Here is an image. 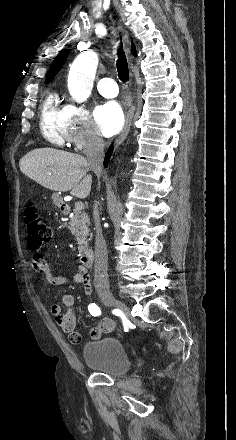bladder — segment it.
<instances>
[{"label":"bladder","instance_id":"bladder-1","mask_svg":"<svg viewBox=\"0 0 236 440\" xmlns=\"http://www.w3.org/2000/svg\"><path fill=\"white\" fill-rule=\"evenodd\" d=\"M82 355L89 367L106 374H123L130 366L123 343L114 337H105L86 343Z\"/></svg>","mask_w":236,"mask_h":440}]
</instances>
